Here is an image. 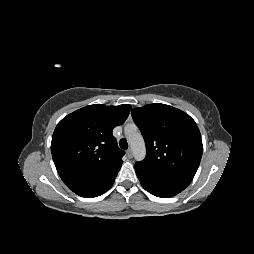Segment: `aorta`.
Returning <instances> with one entry per match:
<instances>
[{"label":"aorta","mask_w":254,"mask_h":254,"mask_svg":"<svg viewBox=\"0 0 254 254\" xmlns=\"http://www.w3.org/2000/svg\"><path fill=\"white\" fill-rule=\"evenodd\" d=\"M127 139L132 147L134 158L141 161L145 158L146 148L142 135L138 132L135 125H129L125 128Z\"/></svg>","instance_id":"obj_1"}]
</instances>
